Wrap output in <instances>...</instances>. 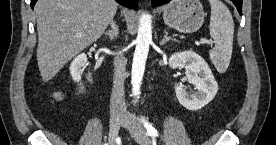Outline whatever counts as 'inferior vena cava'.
Listing matches in <instances>:
<instances>
[{"instance_id": "602c4592", "label": "inferior vena cava", "mask_w": 276, "mask_h": 145, "mask_svg": "<svg viewBox=\"0 0 276 145\" xmlns=\"http://www.w3.org/2000/svg\"><path fill=\"white\" fill-rule=\"evenodd\" d=\"M126 59L122 56L114 58L113 89L110 99V113L112 116L125 113L124 81L126 78Z\"/></svg>"}]
</instances>
